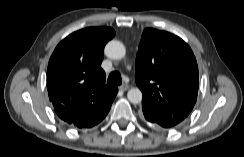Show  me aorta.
Returning <instances> with one entry per match:
<instances>
[{"instance_id": "762f6f07", "label": "aorta", "mask_w": 244, "mask_h": 157, "mask_svg": "<svg viewBox=\"0 0 244 157\" xmlns=\"http://www.w3.org/2000/svg\"><path fill=\"white\" fill-rule=\"evenodd\" d=\"M105 54L111 59L119 60L125 57L126 49L120 41L112 40L106 44ZM127 98L131 103L138 104L142 101V92L139 88H131Z\"/></svg>"}]
</instances>
